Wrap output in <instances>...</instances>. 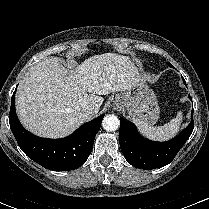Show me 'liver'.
I'll list each match as a JSON object with an SVG mask.
<instances>
[{"instance_id":"obj_1","label":"liver","mask_w":209,"mask_h":209,"mask_svg":"<svg viewBox=\"0 0 209 209\" xmlns=\"http://www.w3.org/2000/svg\"><path fill=\"white\" fill-rule=\"evenodd\" d=\"M140 80L134 63L126 56L104 53L85 59L68 70L52 57L32 66L16 93V111L22 125L35 135L62 138L74 132L99 111L112 92L127 91ZM95 113L94 115H96Z\"/></svg>"}]
</instances>
